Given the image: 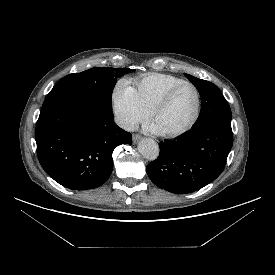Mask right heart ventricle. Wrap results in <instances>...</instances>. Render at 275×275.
<instances>
[{
    "instance_id": "right-heart-ventricle-1",
    "label": "right heart ventricle",
    "mask_w": 275,
    "mask_h": 275,
    "mask_svg": "<svg viewBox=\"0 0 275 275\" xmlns=\"http://www.w3.org/2000/svg\"><path fill=\"white\" fill-rule=\"evenodd\" d=\"M181 81L183 80L168 74H148L136 80V92L141 103L151 112L153 106L163 94Z\"/></svg>"
}]
</instances>
